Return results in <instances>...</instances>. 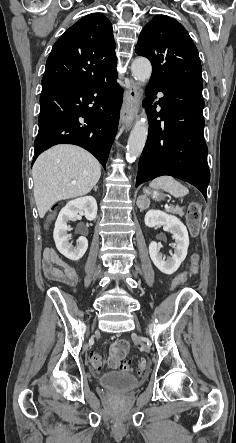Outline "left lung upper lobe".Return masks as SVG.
<instances>
[{"label": "left lung upper lobe", "mask_w": 236, "mask_h": 443, "mask_svg": "<svg viewBox=\"0 0 236 443\" xmlns=\"http://www.w3.org/2000/svg\"><path fill=\"white\" fill-rule=\"evenodd\" d=\"M135 51L151 61L150 80L202 84L198 50L186 29L173 18L154 16L141 31Z\"/></svg>", "instance_id": "5c2ea615"}]
</instances>
